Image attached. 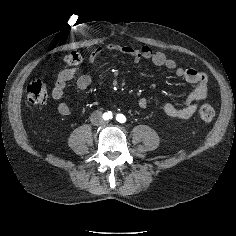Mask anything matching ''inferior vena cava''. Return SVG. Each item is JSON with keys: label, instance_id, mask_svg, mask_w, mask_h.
<instances>
[{"label": "inferior vena cava", "instance_id": "602c4592", "mask_svg": "<svg viewBox=\"0 0 236 236\" xmlns=\"http://www.w3.org/2000/svg\"><path fill=\"white\" fill-rule=\"evenodd\" d=\"M90 119L95 125L101 124L103 122L100 111L93 112Z\"/></svg>", "mask_w": 236, "mask_h": 236}]
</instances>
